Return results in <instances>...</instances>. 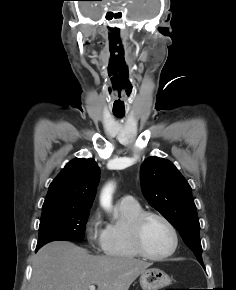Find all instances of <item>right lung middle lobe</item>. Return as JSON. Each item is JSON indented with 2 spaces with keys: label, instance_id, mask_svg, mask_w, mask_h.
Masks as SVG:
<instances>
[{
  "label": "right lung middle lobe",
  "instance_id": "1",
  "mask_svg": "<svg viewBox=\"0 0 236 290\" xmlns=\"http://www.w3.org/2000/svg\"><path fill=\"white\" fill-rule=\"evenodd\" d=\"M89 213L90 210L53 209L42 211L36 250L55 240H83Z\"/></svg>",
  "mask_w": 236,
  "mask_h": 290
}]
</instances>
